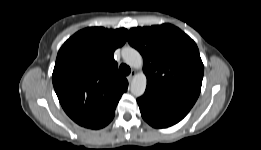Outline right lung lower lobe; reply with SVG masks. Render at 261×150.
I'll return each instance as SVG.
<instances>
[{"mask_svg": "<svg viewBox=\"0 0 261 150\" xmlns=\"http://www.w3.org/2000/svg\"><path fill=\"white\" fill-rule=\"evenodd\" d=\"M114 114H115V110L112 111L104 120H102L101 122L95 124L94 126H92L90 128L99 129V128L106 126L108 123H110L112 121Z\"/></svg>", "mask_w": 261, "mask_h": 150, "instance_id": "98d812e1", "label": "right lung lower lobe"}]
</instances>
